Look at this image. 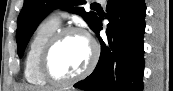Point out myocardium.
<instances>
[{
  "label": "myocardium",
  "instance_id": "f54148a6",
  "mask_svg": "<svg viewBox=\"0 0 173 91\" xmlns=\"http://www.w3.org/2000/svg\"><path fill=\"white\" fill-rule=\"evenodd\" d=\"M69 34H79L86 38L91 48V55L87 66L78 74L68 78H56L48 69V61L56 44ZM97 43L81 28L66 26L59 28L44 44L38 59V72L40 76L53 86H67L88 76L95 68L99 59Z\"/></svg>",
  "mask_w": 173,
  "mask_h": 91
}]
</instances>
